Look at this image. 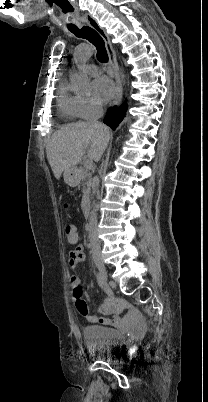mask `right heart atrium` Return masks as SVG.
I'll use <instances>...</instances> for the list:
<instances>
[{"instance_id": "d8ad5b80", "label": "right heart atrium", "mask_w": 208, "mask_h": 402, "mask_svg": "<svg viewBox=\"0 0 208 402\" xmlns=\"http://www.w3.org/2000/svg\"><path fill=\"white\" fill-rule=\"evenodd\" d=\"M78 104L80 115L83 120H91L97 118L103 108L102 101L92 93L79 94Z\"/></svg>"}]
</instances>
